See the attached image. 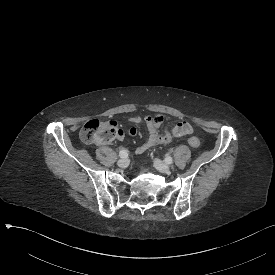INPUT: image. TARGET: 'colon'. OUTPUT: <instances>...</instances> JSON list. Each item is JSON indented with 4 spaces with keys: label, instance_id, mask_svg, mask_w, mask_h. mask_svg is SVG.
<instances>
[{
    "label": "colon",
    "instance_id": "colon-1",
    "mask_svg": "<svg viewBox=\"0 0 275 275\" xmlns=\"http://www.w3.org/2000/svg\"><path fill=\"white\" fill-rule=\"evenodd\" d=\"M121 129L113 121L93 119L84 123L80 130V138L86 144L106 143L119 140L117 134ZM188 143L193 148L200 146V140L195 136L189 137Z\"/></svg>",
    "mask_w": 275,
    "mask_h": 275
}]
</instances>
